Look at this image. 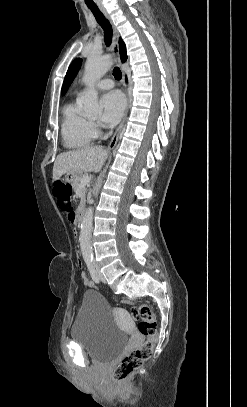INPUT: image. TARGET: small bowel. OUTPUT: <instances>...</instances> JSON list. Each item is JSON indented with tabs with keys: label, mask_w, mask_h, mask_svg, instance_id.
<instances>
[{
	"label": "small bowel",
	"mask_w": 247,
	"mask_h": 407,
	"mask_svg": "<svg viewBox=\"0 0 247 407\" xmlns=\"http://www.w3.org/2000/svg\"><path fill=\"white\" fill-rule=\"evenodd\" d=\"M66 216H67V219H68V221H69L70 223H75V221H76V215H75V212H74V211H72V213H70L69 215H66ZM81 277H82V280H83V282H84V284H85L86 286H88V287L93 286V282L89 279V277L87 276V274H86L85 272H83V273L81 274Z\"/></svg>",
	"instance_id": "obj_1"
}]
</instances>
